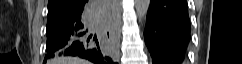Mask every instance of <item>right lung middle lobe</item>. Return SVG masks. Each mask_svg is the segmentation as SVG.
Returning <instances> with one entry per match:
<instances>
[{
    "label": "right lung middle lobe",
    "mask_w": 242,
    "mask_h": 64,
    "mask_svg": "<svg viewBox=\"0 0 242 64\" xmlns=\"http://www.w3.org/2000/svg\"><path fill=\"white\" fill-rule=\"evenodd\" d=\"M81 17V11H70V12H53L48 13V22L46 27V33L51 31L57 25L70 22L76 18Z\"/></svg>",
    "instance_id": "right-lung-middle-lobe-1"
}]
</instances>
